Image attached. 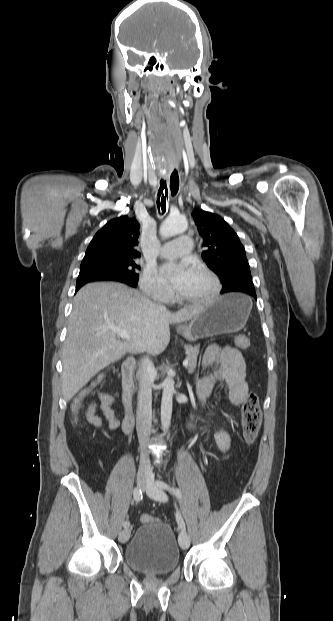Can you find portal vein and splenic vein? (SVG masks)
Instances as JSON below:
<instances>
[{"label": "portal vein and splenic vein", "mask_w": 333, "mask_h": 621, "mask_svg": "<svg viewBox=\"0 0 333 621\" xmlns=\"http://www.w3.org/2000/svg\"><path fill=\"white\" fill-rule=\"evenodd\" d=\"M112 330H113L114 332H116V333H117V335H118L120 338H122V339H130V334H129L127 331H125V330H123V329H120V328H116V327H112ZM188 364H189V360L186 358V359L183 361V366H185V367H186V366H188Z\"/></svg>", "instance_id": "obj_1"}]
</instances>
